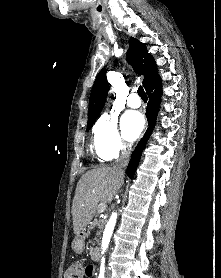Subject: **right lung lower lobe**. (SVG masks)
<instances>
[{
  "instance_id": "obj_1",
  "label": "right lung lower lobe",
  "mask_w": 221,
  "mask_h": 278,
  "mask_svg": "<svg viewBox=\"0 0 221 278\" xmlns=\"http://www.w3.org/2000/svg\"><path fill=\"white\" fill-rule=\"evenodd\" d=\"M146 93L149 97V102L146 109V117L148 120V130L146 131L144 137L140 140L137 147L135 148L134 152L132 153L131 160L127 167V174L129 177L132 178L134 172L137 169L138 163L140 161V157L142 151L145 147V144L150 137L153 127L156 122L157 112L160 106V99L162 93V86H161V78L158 76L155 78L146 88Z\"/></svg>"
}]
</instances>
